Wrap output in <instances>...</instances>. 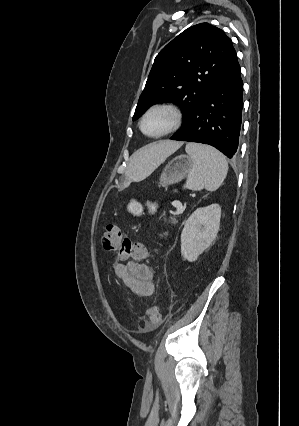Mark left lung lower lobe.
<instances>
[{"label": "left lung lower lobe", "instance_id": "1", "mask_svg": "<svg viewBox=\"0 0 299 426\" xmlns=\"http://www.w3.org/2000/svg\"><path fill=\"white\" fill-rule=\"evenodd\" d=\"M243 84L236 52L220 72L187 124L170 139L211 145L227 157L237 154Z\"/></svg>", "mask_w": 299, "mask_h": 426}]
</instances>
